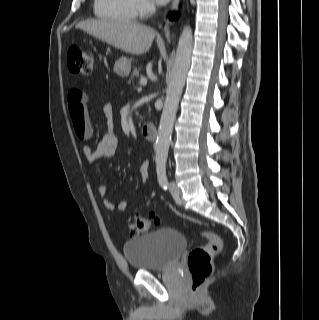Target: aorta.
Returning <instances> with one entry per match:
<instances>
[{
	"label": "aorta",
	"mask_w": 319,
	"mask_h": 320,
	"mask_svg": "<svg viewBox=\"0 0 319 320\" xmlns=\"http://www.w3.org/2000/svg\"><path fill=\"white\" fill-rule=\"evenodd\" d=\"M192 48L193 34L190 26L187 25L178 41L175 62L160 119L155 149V161L158 168L166 165L176 112L190 67Z\"/></svg>",
	"instance_id": "1"
}]
</instances>
